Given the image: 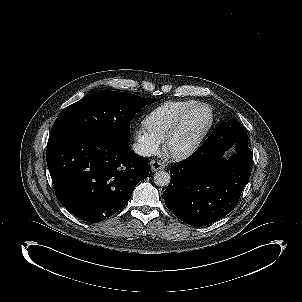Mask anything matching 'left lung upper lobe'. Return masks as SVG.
I'll list each match as a JSON object with an SVG mask.
<instances>
[{"instance_id":"obj_1","label":"left lung upper lobe","mask_w":302,"mask_h":302,"mask_svg":"<svg viewBox=\"0 0 302 302\" xmlns=\"http://www.w3.org/2000/svg\"><path fill=\"white\" fill-rule=\"evenodd\" d=\"M248 135L244 126L237 120H229L220 125L204 142L215 148L226 150L232 145L240 146L247 143Z\"/></svg>"}]
</instances>
